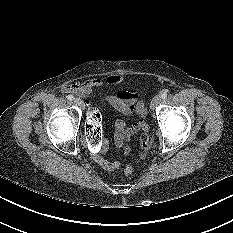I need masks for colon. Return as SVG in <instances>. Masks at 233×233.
<instances>
[{"label":"colon","instance_id":"1","mask_svg":"<svg viewBox=\"0 0 233 233\" xmlns=\"http://www.w3.org/2000/svg\"><path fill=\"white\" fill-rule=\"evenodd\" d=\"M100 113L98 108L91 107L88 110V117L85 121V147L88 153L95 154L98 153L102 147V128L100 124ZM140 129L142 130V134L140 137V145L141 152L139 154V160H143L146 158L148 151L152 145V139L149 135V125L143 119L140 122ZM132 168L130 166H126L123 169V173L126 176L132 174Z\"/></svg>","mask_w":233,"mask_h":233}]
</instances>
